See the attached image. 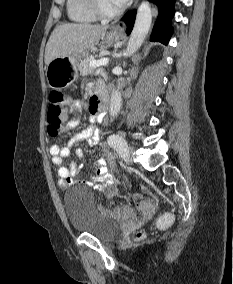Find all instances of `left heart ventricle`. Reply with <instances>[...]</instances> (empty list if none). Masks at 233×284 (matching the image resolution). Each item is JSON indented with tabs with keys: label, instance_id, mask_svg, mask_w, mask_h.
I'll return each mask as SVG.
<instances>
[{
	"label": "left heart ventricle",
	"instance_id": "b2bd125f",
	"mask_svg": "<svg viewBox=\"0 0 233 284\" xmlns=\"http://www.w3.org/2000/svg\"><path fill=\"white\" fill-rule=\"evenodd\" d=\"M103 7L108 11H113L119 6L113 0H101Z\"/></svg>",
	"mask_w": 233,
	"mask_h": 284
}]
</instances>
